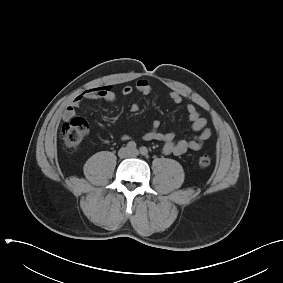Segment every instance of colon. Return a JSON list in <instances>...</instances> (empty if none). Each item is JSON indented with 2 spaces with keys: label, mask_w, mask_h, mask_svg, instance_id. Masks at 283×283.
<instances>
[{
  "label": "colon",
  "mask_w": 283,
  "mask_h": 283,
  "mask_svg": "<svg viewBox=\"0 0 283 283\" xmlns=\"http://www.w3.org/2000/svg\"><path fill=\"white\" fill-rule=\"evenodd\" d=\"M88 132V123L82 118H74L62 125L60 137L63 146L67 151H75L81 145ZM197 164L201 168H206L211 164V158L207 154H201L197 158Z\"/></svg>",
  "instance_id": "1"
}]
</instances>
